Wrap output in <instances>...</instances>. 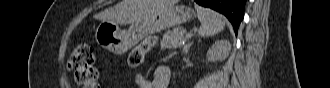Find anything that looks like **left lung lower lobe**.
Masks as SVG:
<instances>
[{"label":"left lung lower lobe","instance_id":"0a47b994","mask_svg":"<svg viewBox=\"0 0 330 88\" xmlns=\"http://www.w3.org/2000/svg\"><path fill=\"white\" fill-rule=\"evenodd\" d=\"M199 5L212 8L224 14L232 23L237 35L238 27L244 16L245 0H194Z\"/></svg>","mask_w":330,"mask_h":88}]
</instances>
